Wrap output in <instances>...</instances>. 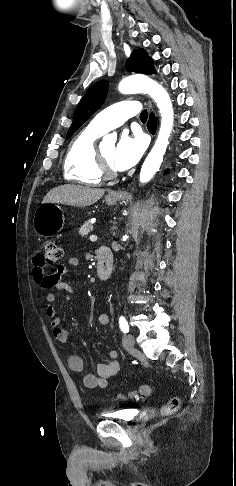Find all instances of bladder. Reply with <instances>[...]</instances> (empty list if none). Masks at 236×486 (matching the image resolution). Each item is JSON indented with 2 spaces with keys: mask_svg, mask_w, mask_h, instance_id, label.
Listing matches in <instances>:
<instances>
[{
  "mask_svg": "<svg viewBox=\"0 0 236 486\" xmlns=\"http://www.w3.org/2000/svg\"><path fill=\"white\" fill-rule=\"evenodd\" d=\"M102 417L109 420H114L123 423L132 422L136 418V414L133 409H121L113 412H106L102 414Z\"/></svg>",
  "mask_w": 236,
  "mask_h": 486,
  "instance_id": "obj_1",
  "label": "bladder"
}]
</instances>
